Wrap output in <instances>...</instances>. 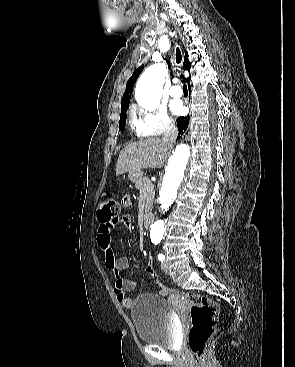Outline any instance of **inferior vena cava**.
<instances>
[{"mask_svg": "<svg viewBox=\"0 0 295 367\" xmlns=\"http://www.w3.org/2000/svg\"><path fill=\"white\" fill-rule=\"evenodd\" d=\"M178 135V130L174 124H168L164 130L163 141L168 148H172Z\"/></svg>", "mask_w": 295, "mask_h": 367, "instance_id": "1", "label": "inferior vena cava"}]
</instances>
